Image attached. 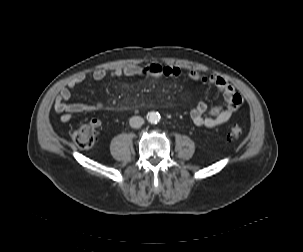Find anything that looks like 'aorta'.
<instances>
[{"instance_id":"obj_1","label":"aorta","mask_w":303,"mask_h":252,"mask_svg":"<svg viewBox=\"0 0 303 252\" xmlns=\"http://www.w3.org/2000/svg\"><path fill=\"white\" fill-rule=\"evenodd\" d=\"M147 120L151 124H157L160 121V114L158 112H149L147 114Z\"/></svg>"}]
</instances>
